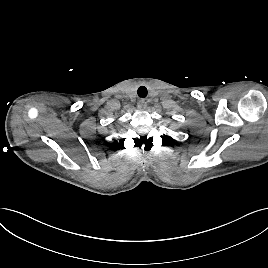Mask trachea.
<instances>
[{
  "label": "trachea",
  "instance_id": "3493384b",
  "mask_svg": "<svg viewBox=\"0 0 268 268\" xmlns=\"http://www.w3.org/2000/svg\"><path fill=\"white\" fill-rule=\"evenodd\" d=\"M147 93V88L145 86H140L137 90V94L140 98H145Z\"/></svg>",
  "mask_w": 268,
  "mask_h": 268
}]
</instances>
